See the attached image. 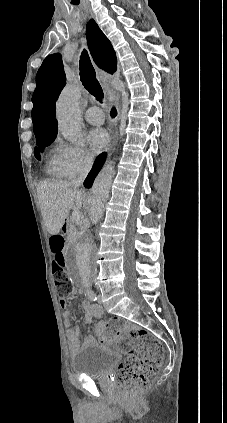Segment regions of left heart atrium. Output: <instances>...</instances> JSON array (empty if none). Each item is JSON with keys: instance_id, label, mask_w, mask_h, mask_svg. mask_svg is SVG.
I'll return each mask as SVG.
<instances>
[{"instance_id": "39dd6f15", "label": "left heart atrium", "mask_w": 227, "mask_h": 423, "mask_svg": "<svg viewBox=\"0 0 227 423\" xmlns=\"http://www.w3.org/2000/svg\"><path fill=\"white\" fill-rule=\"evenodd\" d=\"M88 141L93 153H100L106 148L109 136L104 129H94L90 132Z\"/></svg>"}]
</instances>
